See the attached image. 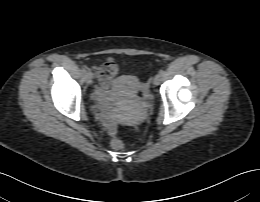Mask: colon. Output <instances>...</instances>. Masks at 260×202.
<instances>
[{
  "label": "colon",
  "mask_w": 260,
  "mask_h": 202,
  "mask_svg": "<svg viewBox=\"0 0 260 202\" xmlns=\"http://www.w3.org/2000/svg\"><path fill=\"white\" fill-rule=\"evenodd\" d=\"M117 72V65L113 59H108L101 63L95 70L96 75L102 82H110ZM111 147L116 151H123L126 148L125 143L119 139L114 138L111 141Z\"/></svg>",
  "instance_id": "obj_1"
}]
</instances>
